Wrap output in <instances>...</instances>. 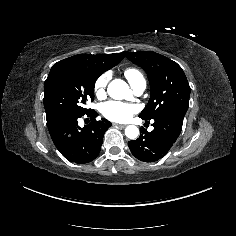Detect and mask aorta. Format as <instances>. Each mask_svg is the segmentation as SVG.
<instances>
[{
  "label": "aorta",
  "instance_id": "762f6f07",
  "mask_svg": "<svg viewBox=\"0 0 236 236\" xmlns=\"http://www.w3.org/2000/svg\"><path fill=\"white\" fill-rule=\"evenodd\" d=\"M124 81L120 79L113 80L108 86V94L114 98V90L119 86L122 85ZM125 135L129 139H136L139 136V129L135 125H128L125 128Z\"/></svg>",
  "mask_w": 236,
  "mask_h": 236
}]
</instances>
